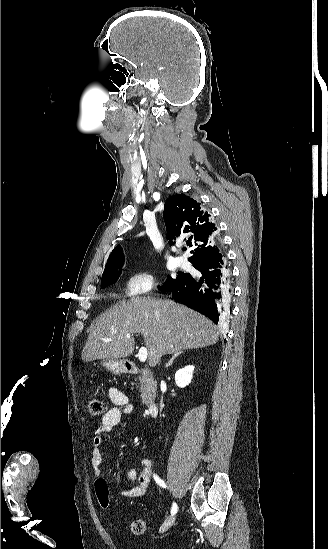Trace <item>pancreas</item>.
Segmentation results:
<instances>
[{
	"mask_svg": "<svg viewBox=\"0 0 328 549\" xmlns=\"http://www.w3.org/2000/svg\"><path fill=\"white\" fill-rule=\"evenodd\" d=\"M138 385H139V393H141L140 397L142 399V403H150V399H152L153 395H156L157 391V383L152 379L151 375L149 373H146V371H141V377H138Z\"/></svg>",
	"mask_w": 328,
	"mask_h": 549,
	"instance_id": "pancreas-1",
	"label": "pancreas"
}]
</instances>
